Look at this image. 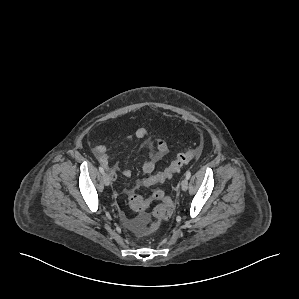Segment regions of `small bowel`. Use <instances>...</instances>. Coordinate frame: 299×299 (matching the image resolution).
Returning <instances> with one entry per match:
<instances>
[{
  "mask_svg": "<svg viewBox=\"0 0 299 299\" xmlns=\"http://www.w3.org/2000/svg\"><path fill=\"white\" fill-rule=\"evenodd\" d=\"M146 136L147 130L145 128H139L133 134L126 136L125 140L131 141L133 139H144L143 146L149 152L150 158L143 162L142 170L146 174H151L154 171L157 162H159L167 153V145L163 140L154 142L146 139ZM95 156L98 162L109 172L111 179L116 180L117 168L110 165L107 148L102 145L97 146L95 149ZM122 174L129 177L131 172L128 169H123Z\"/></svg>",
  "mask_w": 299,
  "mask_h": 299,
  "instance_id": "1",
  "label": "small bowel"
}]
</instances>
